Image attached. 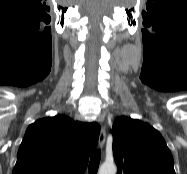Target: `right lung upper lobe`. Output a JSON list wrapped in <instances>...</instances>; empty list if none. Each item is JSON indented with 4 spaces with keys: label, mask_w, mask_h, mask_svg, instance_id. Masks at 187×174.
Listing matches in <instances>:
<instances>
[{
    "label": "right lung upper lobe",
    "mask_w": 187,
    "mask_h": 174,
    "mask_svg": "<svg viewBox=\"0 0 187 174\" xmlns=\"http://www.w3.org/2000/svg\"><path fill=\"white\" fill-rule=\"evenodd\" d=\"M100 126L64 115L29 125L12 174H83Z\"/></svg>",
    "instance_id": "obj_1"
}]
</instances>
